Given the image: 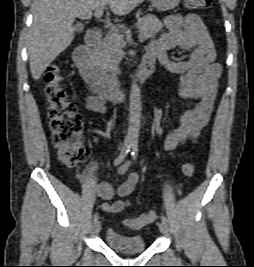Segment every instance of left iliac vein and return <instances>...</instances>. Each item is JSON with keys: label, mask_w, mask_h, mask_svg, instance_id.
Wrapping results in <instances>:
<instances>
[{"label": "left iliac vein", "mask_w": 254, "mask_h": 267, "mask_svg": "<svg viewBox=\"0 0 254 267\" xmlns=\"http://www.w3.org/2000/svg\"><path fill=\"white\" fill-rule=\"evenodd\" d=\"M158 226H159V229H160L162 234L168 235L169 228H168V225L165 222H163V221L159 222Z\"/></svg>", "instance_id": "left-iliac-vein-1"}]
</instances>
